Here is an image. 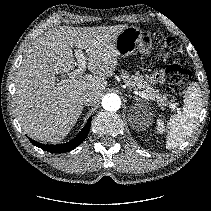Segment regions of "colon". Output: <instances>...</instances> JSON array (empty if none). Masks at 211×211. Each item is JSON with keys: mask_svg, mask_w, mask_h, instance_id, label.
I'll return each mask as SVG.
<instances>
[{"mask_svg": "<svg viewBox=\"0 0 211 211\" xmlns=\"http://www.w3.org/2000/svg\"><path fill=\"white\" fill-rule=\"evenodd\" d=\"M159 46L161 58L167 65L166 79L173 93H181L190 80V73L181 67L184 53L178 40L173 37L157 33L155 37Z\"/></svg>", "mask_w": 211, "mask_h": 211, "instance_id": "5ec220e1", "label": "colon"}]
</instances>
